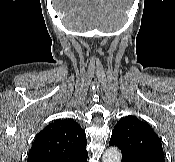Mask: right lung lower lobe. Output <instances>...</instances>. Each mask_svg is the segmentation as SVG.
<instances>
[{"label":"right lung lower lobe","instance_id":"1","mask_svg":"<svg viewBox=\"0 0 175 162\" xmlns=\"http://www.w3.org/2000/svg\"><path fill=\"white\" fill-rule=\"evenodd\" d=\"M79 162H87V157L83 158V159L80 160Z\"/></svg>","mask_w":175,"mask_h":162}]
</instances>
